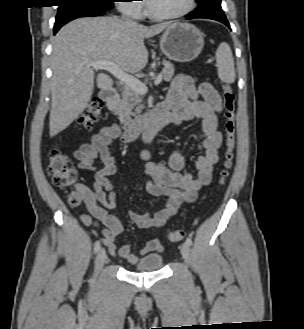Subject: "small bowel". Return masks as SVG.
Here are the masks:
<instances>
[{
    "instance_id": "small-bowel-1",
    "label": "small bowel",
    "mask_w": 304,
    "mask_h": 329,
    "mask_svg": "<svg viewBox=\"0 0 304 329\" xmlns=\"http://www.w3.org/2000/svg\"><path fill=\"white\" fill-rule=\"evenodd\" d=\"M162 104L170 110L172 123L176 125L201 119V128L195 137L200 142L203 154L196 161L197 177L183 172L187 159L179 147L171 154L168 165L155 161L144 163L143 171L148 176L146 190L156 197L165 196L166 201L164 207L152 215L128 212L130 220L140 228L162 227L183 202H193L198 192L210 184L223 139L217 118V114L222 111V99L210 83L196 85L190 76L179 74L174 78ZM119 132L120 129L115 124L106 126L74 152L78 167L94 173L91 188L83 184L77 186L90 214L82 215L80 219L87 226L98 227L101 224V241L109 253L134 264L149 252H162L164 245L154 238L138 254L131 251L130 243L117 248L116 238L123 232V226L108 212L116 204L114 186L108 177L117 172L110 146ZM96 160L102 162V168L96 167Z\"/></svg>"
}]
</instances>
